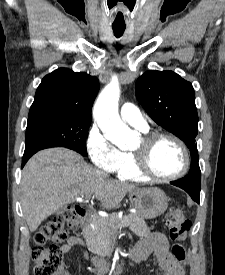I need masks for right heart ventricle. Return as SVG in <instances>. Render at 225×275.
I'll return each mask as SVG.
<instances>
[{
    "label": "right heart ventricle",
    "mask_w": 225,
    "mask_h": 275,
    "mask_svg": "<svg viewBox=\"0 0 225 275\" xmlns=\"http://www.w3.org/2000/svg\"><path fill=\"white\" fill-rule=\"evenodd\" d=\"M117 176L124 180L143 181L145 178L138 173L135 168V158L133 153H123V161L115 171Z\"/></svg>",
    "instance_id": "1"
}]
</instances>
